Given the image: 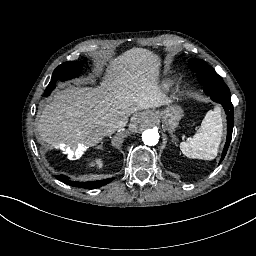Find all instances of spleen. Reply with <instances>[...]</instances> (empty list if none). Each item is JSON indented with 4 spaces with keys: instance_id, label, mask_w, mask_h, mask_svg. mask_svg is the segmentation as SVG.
Returning a JSON list of instances; mask_svg holds the SVG:
<instances>
[{
    "instance_id": "spleen-1",
    "label": "spleen",
    "mask_w": 256,
    "mask_h": 256,
    "mask_svg": "<svg viewBox=\"0 0 256 256\" xmlns=\"http://www.w3.org/2000/svg\"><path fill=\"white\" fill-rule=\"evenodd\" d=\"M222 119L220 109L209 110L202 120L200 128L187 142H181L179 148L188 158L213 160L221 143Z\"/></svg>"
}]
</instances>
